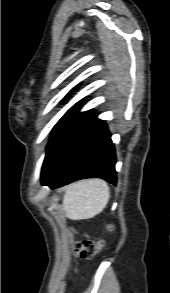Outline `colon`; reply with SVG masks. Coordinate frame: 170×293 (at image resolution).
Listing matches in <instances>:
<instances>
[{
    "label": "colon",
    "instance_id": "obj_1",
    "mask_svg": "<svg viewBox=\"0 0 170 293\" xmlns=\"http://www.w3.org/2000/svg\"><path fill=\"white\" fill-rule=\"evenodd\" d=\"M113 230L112 225L106 226V231L111 232ZM103 239H84L75 243L74 254L81 260H91L103 247Z\"/></svg>",
    "mask_w": 170,
    "mask_h": 293
}]
</instances>
